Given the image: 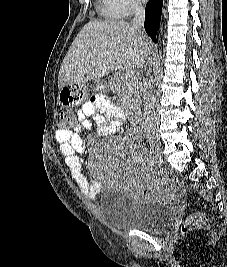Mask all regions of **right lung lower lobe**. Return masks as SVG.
Returning a JSON list of instances; mask_svg holds the SVG:
<instances>
[{
	"label": "right lung lower lobe",
	"mask_w": 227,
	"mask_h": 267,
	"mask_svg": "<svg viewBox=\"0 0 227 267\" xmlns=\"http://www.w3.org/2000/svg\"><path fill=\"white\" fill-rule=\"evenodd\" d=\"M163 0H149L145 8V31L154 42H157Z\"/></svg>",
	"instance_id": "98d812e1"
}]
</instances>
